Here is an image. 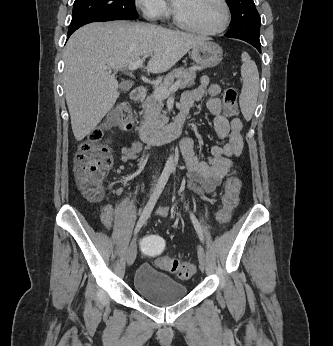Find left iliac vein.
I'll return each mask as SVG.
<instances>
[{
  "instance_id": "obj_1",
  "label": "left iliac vein",
  "mask_w": 333,
  "mask_h": 346,
  "mask_svg": "<svg viewBox=\"0 0 333 346\" xmlns=\"http://www.w3.org/2000/svg\"><path fill=\"white\" fill-rule=\"evenodd\" d=\"M197 255H198V261H199V266L202 271H205L206 268V256L204 249L201 245L197 246Z\"/></svg>"
}]
</instances>
